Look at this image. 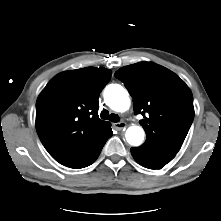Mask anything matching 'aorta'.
<instances>
[{
	"label": "aorta",
	"instance_id": "1",
	"mask_svg": "<svg viewBox=\"0 0 221 221\" xmlns=\"http://www.w3.org/2000/svg\"><path fill=\"white\" fill-rule=\"evenodd\" d=\"M105 103L114 111L124 112L130 107L127 90L119 84H110L104 91ZM144 130L139 126H130L126 130V140L132 146H139L144 140Z\"/></svg>",
	"mask_w": 221,
	"mask_h": 221
}]
</instances>
